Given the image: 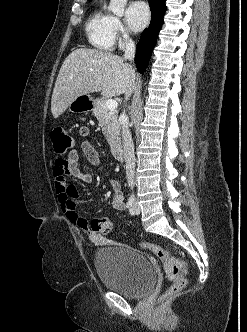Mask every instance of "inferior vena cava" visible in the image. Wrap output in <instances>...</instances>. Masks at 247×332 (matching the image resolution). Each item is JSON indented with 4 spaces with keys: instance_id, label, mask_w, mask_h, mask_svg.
<instances>
[{
    "instance_id": "602c4592",
    "label": "inferior vena cava",
    "mask_w": 247,
    "mask_h": 332,
    "mask_svg": "<svg viewBox=\"0 0 247 332\" xmlns=\"http://www.w3.org/2000/svg\"><path fill=\"white\" fill-rule=\"evenodd\" d=\"M136 47L134 42L131 39H128L125 45L124 59L133 61L135 57ZM134 87L132 86V89ZM131 95V90L125 94V100L127 101ZM122 119V143H123V152L125 159V168H126V178L128 186L133 190L134 188V173H135V154H134V145L132 141L131 132L129 130L128 118L123 112L120 116Z\"/></svg>"
}]
</instances>
